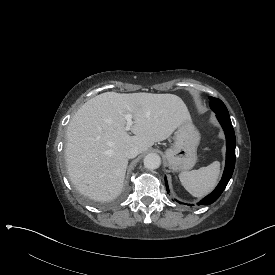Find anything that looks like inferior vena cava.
<instances>
[{
	"label": "inferior vena cava",
	"mask_w": 275,
	"mask_h": 275,
	"mask_svg": "<svg viewBox=\"0 0 275 275\" xmlns=\"http://www.w3.org/2000/svg\"><path fill=\"white\" fill-rule=\"evenodd\" d=\"M124 153L127 158H135L139 154V148L134 144L125 146Z\"/></svg>",
	"instance_id": "inferior-vena-cava-1"
}]
</instances>
